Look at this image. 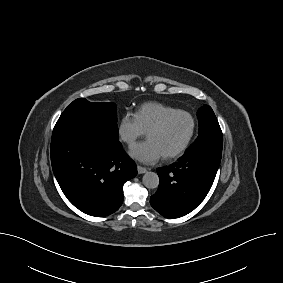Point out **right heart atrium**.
I'll return each instance as SVG.
<instances>
[{
    "mask_svg": "<svg viewBox=\"0 0 283 283\" xmlns=\"http://www.w3.org/2000/svg\"><path fill=\"white\" fill-rule=\"evenodd\" d=\"M118 134L125 144L132 146L138 139L142 138L146 132L141 127L136 114L127 112L123 114L118 122Z\"/></svg>",
    "mask_w": 283,
    "mask_h": 283,
    "instance_id": "d8ad5b80",
    "label": "right heart atrium"
}]
</instances>
